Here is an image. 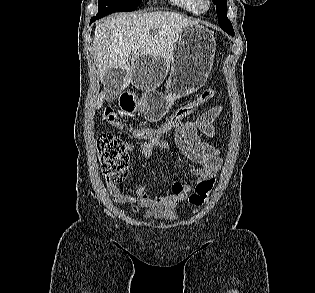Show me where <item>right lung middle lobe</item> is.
Returning <instances> with one entry per match:
<instances>
[{
	"label": "right lung middle lobe",
	"instance_id": "obj_1",
	"mask_svg": "<svg viewBox=\"0 0 315 293\" xmlns=\"http://www.w3.org/2000/svg\"><path fill=\"white\" fill-rule=\"evenodd\" d=\"M142 0H98V12H128L134 11Z\"/></svg>",
	"mask_w": 315,
	"mask_h": 293
}]
</instances>
